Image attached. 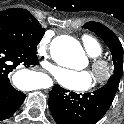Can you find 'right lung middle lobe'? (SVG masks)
<instances>
[{
    "label": "right lung middle lobe",
    "mask_w": 124,
    "mask_h": 124,
    "mask_svg": "<svg viewBox=\"0 0 124 124\" xmlns=\"http://www.w3.org/2000/svg\"><path fill=\"white\" fill-rule=\"evenodd\" d=\"M44 32L37 19L25 9L11 8L0 12V43L35 52Z\"/></svg>",
    "instance_id": "right-lung-middle-lobe-1"
}]
</instances>
